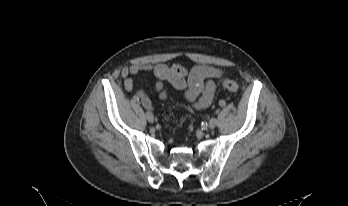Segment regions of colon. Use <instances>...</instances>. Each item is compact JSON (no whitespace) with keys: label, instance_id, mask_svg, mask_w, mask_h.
I'll return each mask as SVG.
<instances>
[{"label":"colon","instance_id":"1","mask_svg":"<svg viewBox=\"0 0 348 206\" xmlns=\"http://www.w3.org/2000/svg\"><path fill=\"white\" fill-rule=\"evenodd\" d=\"M222 87L230 93H236L239 88L237 82L229 77L223 79Z\"/></svg>","mask_w":348,"mask_h":206}]
</instances>
